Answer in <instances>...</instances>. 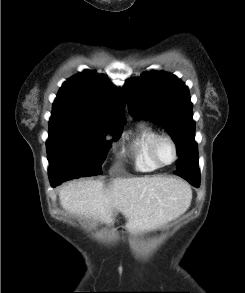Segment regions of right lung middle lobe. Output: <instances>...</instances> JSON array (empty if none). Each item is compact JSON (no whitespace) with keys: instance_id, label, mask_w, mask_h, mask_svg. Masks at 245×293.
<instances>
[{"instance_id":"dd1d6c3e","label":"right lung middle lobe","mask_w":245,"mask_h":293,"mask_svg":"<svg viewBox=\"0 0 245 293\" xmlns=\"http://www.w3.org/2000/svg\"><path fill=\"white\" fill-rule=\"evenodd\" d=\"M122 126L113 129L94 127L74 122L49 121L47 154L50 182L61 183L72 178L99 175L105 150L110 147L101 131L113 135L117 141Z\"/></svg>"}]
</instances>
